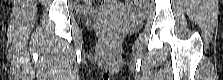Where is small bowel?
<instances>
[{
  "label": "small bowel",
  "instance_id": "1",
  "mask_svg": "<svg viewBox=\"0 0 223 80\" xmlns=\"http://www.w3.org/2000/svg\"><path fill=\"white\" fill-rule=\"evenodd\" d=\"M113 3H110V5L112 6ZM100 6V4L98 2L96 3H89L87 6H86V9L88 10H94L96 8H98Z\"/></svg>",
  "mask_w": 223,
  "mask_h": 80
}]
</instances>
